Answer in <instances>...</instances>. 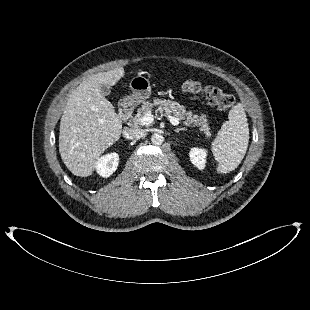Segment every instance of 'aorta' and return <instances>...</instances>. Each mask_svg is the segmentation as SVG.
Wrapping results in <instances>:
<instances>
[{"label":"aorta","instance_id":"1","mask_svg":"<svg viewBox=\"0 0 310 310\" xmlns=\"http://www.w3.org/2000/svg\"><path fill=\"white\" fill-rule=\"evenodd\" d=\"M151 142L154 145H161L164 142V137L161 134L155 133L151 136Z\"/></svg>","mask_w":310,"mask_h":310}]
</instances>
